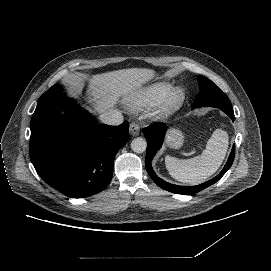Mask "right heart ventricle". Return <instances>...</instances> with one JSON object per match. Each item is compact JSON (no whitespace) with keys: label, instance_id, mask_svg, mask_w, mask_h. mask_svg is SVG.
Returning a JSON list of instances; mask_svg holds the SVG:
<instances>
[{"label":"right heart ventricle","instance_id":"e07e8e85","mask_svg":"<svg viewBox=\"0 0 271 271\" xmlns=\"http://www.w3.org/2000/svg\"><path fill=\"white\" fill-rule=\"evenodd\" d=\"M173 89L174 85L169 81L151 83L134 93L128 106L133 111H139L143 108L160 105L168 98Z\"/></svg>","mask_w":271,"mask_h":271}]
</instances>
